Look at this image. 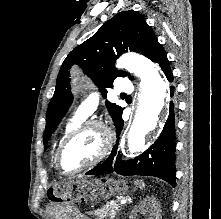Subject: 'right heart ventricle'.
I'll return each instance as SVG.
<instances>
[{
    "mask_svg": "<svg viewBox=\"0 0 221 219\" xmlns=\"http://www.w3.org/2000/svg\"><path fill=\"white\" fill-rule=\"evenodd\" d=\"M86 117L81 116L80 114L76 113L75 115H73L69 121L65 124V126L63 127L61 134L59 136L58 139V143H57V147H56V151L60 145V143L62 142V140L65 138V136L76 126H78L79 124H81Z\"/></svg>",
    "mask_w": 221,
    "mask_h": 219,
    "instance_id": "obj_1",
    "label": "right heart ventricle"
}]
</instances>
